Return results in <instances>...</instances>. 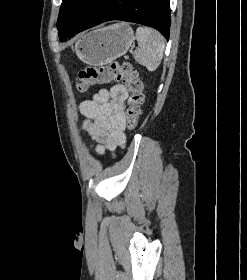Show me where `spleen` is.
<instances>
[{
    "label": "spleen",
    "instance_id": "1",
    "mask_svg": "<svg viewBox=\"0 0 247 280\" xmlns=\"http://www.w3.org/2000/svg\"><path fill=\"white\" fill-rule=\"evenodd\" d=\"M136 38L139 47L133 53L135 60L148 71H155L163 58L165 49L163 36L154 29L138 27Z\"/></svg>",
    "mask_w": 247,
    "mask_h": 280
}]
</instances>
